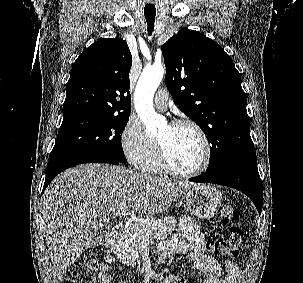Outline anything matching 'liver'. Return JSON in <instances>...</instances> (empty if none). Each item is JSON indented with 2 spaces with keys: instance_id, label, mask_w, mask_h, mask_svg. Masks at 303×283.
I'll return each mask as SVG.
<instances>
[{
  "instance_id": "1",
  "label": "liver",
  "mask_w": 303,
  "mask_h": 283,
  "mask_svg": "<svg viewBox=\"0 0 303 283\" xmlns=\"http://www.w3.org/2000/svg\"><path fill=\"white\" fill-rule=\"evenodd\" d=\"M197 184L153 177L123 166L83 164L59 174L42 203L44 237L57 279L91 247L97 228L130 206L139 214H159Z\"/></svg>"
}]
</instances>
